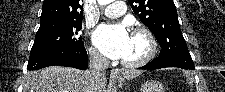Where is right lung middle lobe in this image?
Masks as SVG:
<instances>
[{
  "instance_id": "right-lung-middle-lobe-1",
  "label": "right lung middle lobe",
  "mask_w": 225,
  "mask_h": 92,
  "mask_svg": "<svg viewBox=\"0 0 225 92\" xmlns=\"http://www.w3.org/2000/svg\"><path fill=\"white\" fill-rule=\"evenodd\" d=\"M81 22H47L40 24L30 54L83 45L78 36Z\"/></svg>"
}]
</instances>
